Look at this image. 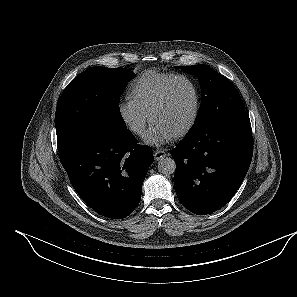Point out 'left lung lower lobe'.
I'll return each mask as SVG.
<instances>
[{"mask_svg": "<svg viewBox=\"0 0 297 297\" xmlns=\"http://www.w3.org/2000/svg\"><path fill=\"white\" fill-rule=\"evenodd\" d=\"M252 154V129L245 110L190 131L171 151L178 199L198 215L219 210L243 182Z\"/></svg>", "mask_w": 297, "mask_h": 297, "instance_id": "0a47b994", "label": "left lung lower lobe"}]
</instances>
